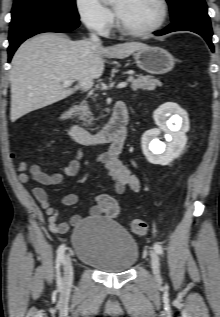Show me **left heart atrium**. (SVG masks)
Returning <instances> with one entry per match:
<instances>
[{
	"mask_svg": "<svg viewBox=\"0 0 220 317\" xmlns=\"http://www.w3.org/2000/svg\"><path fill=\"white\" fill-rule=\"evenodd\" d=\"M115 10H116V13H117V11H118V8H116V7H115Z\"/></svg>",
	"mask_w": 220,
	"mask_h": 317,
	"instance_id": "obj_1",
	"label": "left heart atrium"
}]
</instances>
